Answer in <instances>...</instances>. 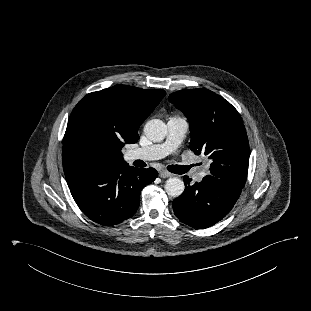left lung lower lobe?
<instances>
[{
    "label": "left lung lower lobe",
    "instance_id": "1",
    "mask_svg": "<svg viewBox=\"0 0 311 311\" xmlns=\"http://www.w3.org/2000/svg\"><path fill=\"white\" fill-rule=\"evenodd\" d=\"M191 180L184 176L185 190L174 199L173 210L181 222L194 228H207L222 220L242 191L212 175L193 185Z\"/></svg>",
    "mask_w": 311,
    "mask_h": 311
}]
</instances>
